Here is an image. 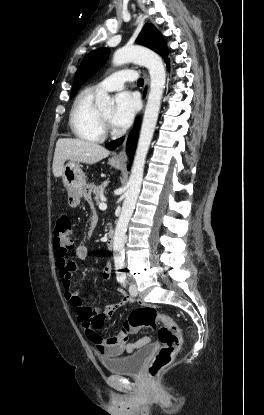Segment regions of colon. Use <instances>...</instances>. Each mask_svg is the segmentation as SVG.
Listing matches in <instances>:
<instances>
[{"instance_id":"obj_1","label":"colon","mask_w":264,"mask_h":415,"mask_svg":"<svg viewBox=\"0 0 264 415\" xmlns=\"http://www.w3.org/2000/svg\"><path fill=\"white\" fill-rule=\"evenodd\" d=\"M54 241L57 250H61L62 252H68L72 248V224L70 217L66 214L59 216L57 219L54 230ZM90 319L93 328L98 331L103 326L105 315L102 311L95 309ZM157 323L161 324L159 339L162 343V348L148 367V375L152 381L157 380L161 371L171 363L174 355L181 348L182 335L177 322L171 316L159 311L154 306L143 305L128 316L125 321V327L122 330V339L126 341L128 338L127 327L146 329L155 327ZM91 338L94 341H98L101 337L96 333Z\"/></svg>"}]
</instances>
